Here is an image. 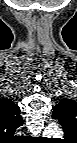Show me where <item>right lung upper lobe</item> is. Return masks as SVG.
Here are the masks:
<instances>
[{
  "mask_svg": "<svg viewBox=\"0 0 77 143\" xmlns=\"http://www.w3.org/2000/svg\"><path fill=\"white\" fill-rule=\"evenodd\" d=\"M23 125L19 107L10 100H0V131L13 135L17 128Z\"/></svg>",
  "mask_w": 77,
  "mask_h": 143,
  "instance_id": "cb5924a9",
  "label": "right lung upper lobe"
}]
</instances>
